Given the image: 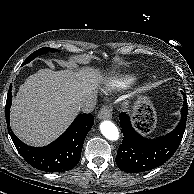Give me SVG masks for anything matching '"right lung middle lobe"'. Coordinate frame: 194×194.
<instances>
[{
  "label": "right lung middle lobe",
  "instance_id": "1",
  "mask_svg": "<svg viewBox=\"0 0 194 194\" xmlns=\"http://www.w3.org/2000/svg\"><path fill=\"white\" fill-rule=\"evenodd\" d=\"M54 51H57V49H54V48H49V47H43L35 52H33L23 63L24 64H27L29 63L30 61H32L35 57H37L38 55H41V54H44V53H47V52H54Z\"/></svg>",
  "mask_w": 194,
  "mask_h": 194
}]
</instances>
